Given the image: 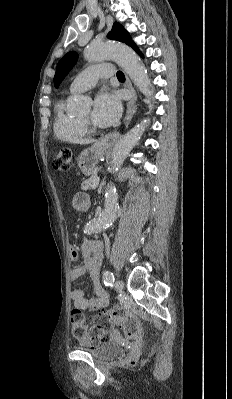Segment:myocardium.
Segmentation results:
<instances>
[{
  "label": "myocardium",
  "mask_w": 232,
  "mask_h": 399,
  "mask_svg": "<svg viewBox=\"0 0 232 399\" xmlns=\"http://www.w3.org/2000/svg\"><path fill=\"white\" fill-rule=\"evenodd\" d=\"M78 120L82 126V128L85 130V132L89 135H98L101 133L100 128H97L94 126L89 120L83 119L78 117Z\"/></svg>",
  "instance_id": "f54148a6"
}]
</instances>
